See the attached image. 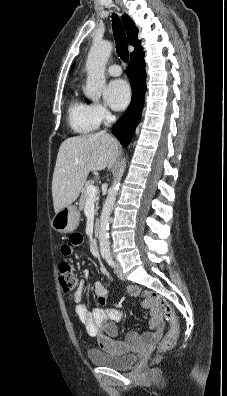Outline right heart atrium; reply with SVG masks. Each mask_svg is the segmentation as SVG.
<instances>
[{"mask_svg": "<svg viewBox=\"0 0 227 396\" xmlns=\"http://www.w3.org/2000/svg\"><path fill=\"white\" fill-rule=\"evenodd\" d=\"M90 109L94 119L97 121L98 124L108 122L113 118L110 110L100 103H91Z\"/></svg>", "mask_w": 227, "mask_h": 396, "instance_id": "d8ad5b80", "label": "right heart atrium"}]
</instances>
